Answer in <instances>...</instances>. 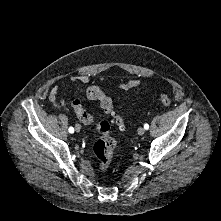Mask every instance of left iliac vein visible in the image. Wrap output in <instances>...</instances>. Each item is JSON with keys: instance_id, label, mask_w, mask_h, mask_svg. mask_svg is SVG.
<instances>
[{"instance_id": "left-iliac-vein-1", "label": "left iliac vein", "mask_w": 221, "mask_h": 221, "mask_svg": "<svg viewBox=\"0 0 221 221\" xmlns=\"http://www.w3.org/2000/svg\"><path fill=\"white\" fill-rule=\"evenodd\" d=\"M137 132L139 135H143L145 133V129L143 127H140Z\"/></svg>"}]
</instances>
